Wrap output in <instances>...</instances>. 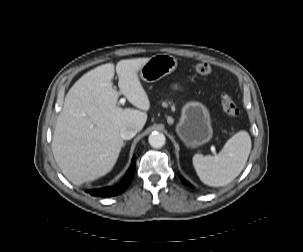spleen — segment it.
Here are the masks:
<instances>
[{
  "mask_svg": "<svg viewBox=\"0 0 303 252\" xmlns=\"http://www.w3.org/2000/svg\"><path fill=\"white\" fill-rule=\"evenodd\" d=\"M251 151V138L246 131L233 135L216 156H193V166L200 180L209 186L229 184L243 170Z\"/></svg>",
  "mask_w": 303,
  "mask_h": 252,
  "instance_id": "obj_1",
  "label": "spleen"
}]
</instances>
